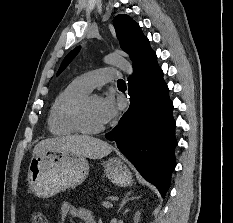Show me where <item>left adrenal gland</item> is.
Instances as JSON below:
<instances>
[{
  "label": "left adrenal gland",
  "mask_w": 233,
  "mask_h": 223,
  "mask_svg": "<svg viewBox=\"0 0 233 223\" xmlns=\"http://www.w3.org/2000/svg\"><path fill=\"white\" fill-rule=\"evenodd\" d=\"M132 193H134V191H128V193H126L124 199H122L121 203H119V209L117 211V213H119L120 209H122L124 203H126V201H129V199H133V197H129V195H132ZM138 197H140V195H138Z\"/></svg>",
  "instance_id": "a2214340"
}]
</instances>
